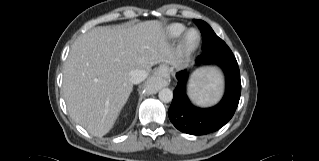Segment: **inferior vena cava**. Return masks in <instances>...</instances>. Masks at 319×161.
I'll return each instance as SVG.
<instances>
[{
  "label": "inferior vena cava",
  "instance_id": "1",
  "mask_svg": "<svg viewBox=\"0 0 319 161\" xmlns=\"http://www.w3.org/2000/svg\"><path fill=\"white\" fill-rule=\"evenodd\" d=\"M147 77V72L145 70L135 69L129 72L130 81L133 84H139Z\"/></svg>",
  "mask_w": 319,
  "mask_h": 161
}]
</instances>
